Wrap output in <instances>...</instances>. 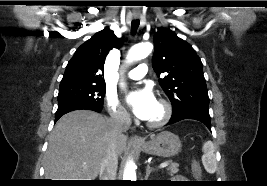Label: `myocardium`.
<instances>
[{"instance_id":"f54148a6","label":"myocardium","mask_w":267,"mask_h":186,"mask_svg":"<svg viewBox=\"0 0 267 186\" xmlns=\"http://www.w3.org/2000/svg\"><path fill=\"white\" fill-rule=\"evenodd\" d=\"M157 102L162 108V115L156 121H147L145 123V125L151 129H157V128L164 126L165 124L168 123V121L170 120L172 116V106L167 100L160 98L158 99Z\"/></svg>"}]
</instances>
